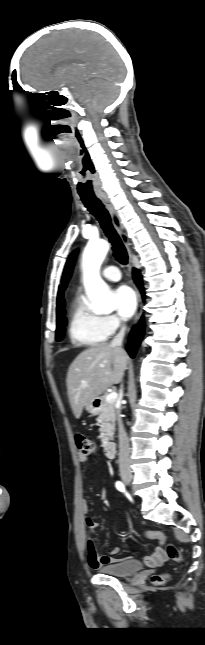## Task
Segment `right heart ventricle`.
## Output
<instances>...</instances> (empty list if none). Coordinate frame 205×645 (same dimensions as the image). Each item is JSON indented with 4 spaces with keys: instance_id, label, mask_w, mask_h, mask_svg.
I'll return each instance as SVG.
<instances>
[{
    "instance_id": "1",
    "label": "right heart ventricle",
    "mask_w": 205,
    "mask_h": 645,
    "mask_svg": "<svg viewBox=\"0 0 205 645\" xmlns=\"http://www.w3.org/2000/svg\"><path fill=\"white\" fill-rule=\"evenodd\" d=\"M108 336L104 317L92 311L82 295H77L69 322L71 342L77 345L95 346L106 341Z\"/></svg>"
}]
</instances>
